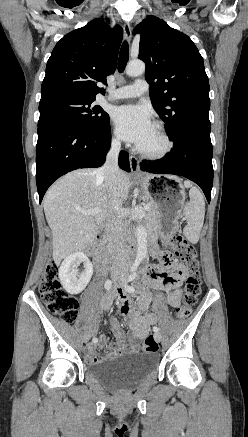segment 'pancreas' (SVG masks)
Wrapping results in <instances>:
<instances>
[{
    "label": "pancreas",
    "mask_w": 248,
    "mask_h": 437,
    "mask_svg": "<svg viewBox=\"0 0 248 437\" xmlns=\"http://www.w3.org/2000/svg\"><path fill=\"white\" fill-rule=\"evenodd\" d=\"M150 209L147 210V213L145 214V220L146 223L148 224L149 228L153 231L156 232L158 230V224H159V217L160 214L157 210V207L153 204L150 203ZM111 244L108 245V249H111Z\"/></svg>",
    "instance_id": "1"
}]
</instances>
